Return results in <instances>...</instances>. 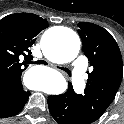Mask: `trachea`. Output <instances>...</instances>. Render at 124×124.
<instances>
[{"mask_svg":"<svg viewBox=\"0 0 124 124\" xmlns=\"http://www.w3.org/2000/svg\"><path fill=\"white\" fill-rule=\"evenodd\" d=\"M62 70H64L65 72L68 73L69 76H71V71H70L69 69H67V68H62Z\"/></svg>","mask_w":124,"mask_h":124,"instance_id":"3493384b","label":"trachea"}]
</instances>
